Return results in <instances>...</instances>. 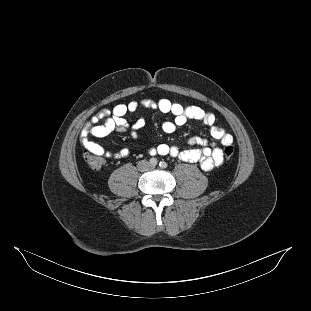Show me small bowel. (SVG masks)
<instances>
[{
	"instance_id": "obj_1",
	"label": "small bowel",
	"mask_w": 311,
	"mask_h": 311,
	"mask_svg": "<svg viewBox=\"0 0 311 311\" xmlns=\"http://www.w3.org/2000/svg\"><path fill=\"white\" fill-rule=\"evenodd\" d=\"M157 108L163 113L173 115V120L165 121L162 130L165 133H173L178 126L184 125L187 120L193 119L203 122L209 127L213 139L223 145L231 144L233 138L222 127L216 124L213 113L207 112L198 106H183L180 103L162 98L155 102L152 100L131 101L116 105L111 111L103 109L94 115L84 126L80 134V142L86 150L105 154L107 157L124 158L128 155L127 149H122L116 153L106 152L102 146L91 141L90 137L103 138L113 131H126L128 123L125 115L133 113L139 108ZM103 121L102 123H100ZM145 125V120L139 118L131 127V136L138 139V130ZM190 145L198 146L187 150H181L176 146L160 144L157 147L149 148L150 155H162L179 158L184 162L199 163L203 170H211L224 162L222 149L215 143L209 142L205 138L193 137L189 140Z\"/></svg>"
}]
</instances>
